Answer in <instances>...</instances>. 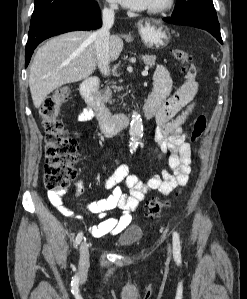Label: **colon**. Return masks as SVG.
Returning <instances> with one entry per match:
<instances>
[{"instance_id": "1", "label": "colon", "mask_w": 247, "mask_h": 299, "mask_svg": "<svg viewBox=\"0 0 247 299\" xmlns=\"http://www.w3.org/2000/svg\"><path fill=\"white\" fill-rule=\"evenodd\" d=\"M173 58L183 67L187 75L196 76V70L189 64L190 55L182 49L172 51ZM70 90L63 88L48 96L42 104V127L45 134V174L44 182L47 189L59 194L68 187L76 177L74 166L77 158L78 145L65 131L58 114L62 104L68 99ZM207 118L200 114L194 121L191 131V142H196L205 132ZM164 203L150 199L147 202V213L150 218H156Z\"/></svg>"}]
</instances>
